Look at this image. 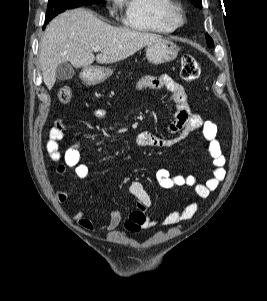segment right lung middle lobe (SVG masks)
Wrapping results in <instances>:
<instances>
[{
	"instance_id": "obj_1",
	"label": "right lung middle lobe",
	"mask_w": 267,
	"mask_h": 301,
	"mask_svg": "<svg viewBox=\"0 0 267 301\" xmlns=\"http://www.w3.org/2000/svg\"><path fill=\"white\" fill-rule=\"evenodd\" d=\"M99 2H101V0H49L45 25L48 24V22L51 21L55 16L64 12L65 10Z\"/></svg>"
}]
</instances>
